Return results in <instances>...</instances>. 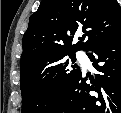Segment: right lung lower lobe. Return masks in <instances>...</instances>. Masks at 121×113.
Wrapping results in <instances>:
<instances>
[{
    "label": "right lung lower lobe",
    "mask_w": 121,
    "mask_h": 113,
    "mask_svg": "<svg viewBox=\"0 0 121 113\" xmlns=\"http://www.w3.org/2000/svg\"><path fill=\"white\" fill-rule=\"evenodd\" d=\"M89 51L95 53L87 55L99 73L89 77L91 84L81 71L73 76L50 113H121V32Z\"/></svg>",
    "instance_id": "98d812e1"
}]
</instances>
